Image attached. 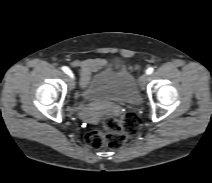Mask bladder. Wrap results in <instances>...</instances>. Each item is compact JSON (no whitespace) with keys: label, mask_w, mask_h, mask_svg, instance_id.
Returning a JSON list of instances; mask_svg holds the SVG:
<instances>
[{"label":"bladder","mask_w":212,"mask_h":183,"mask_svg":"<svg viewBox=\"0 0 212 183\" xmlns=\"http://www.w3.org/2000/svg\"><path fill=\"white\" fill-rule=\"evenodd\" d=\"M86 101L113 100L135 105L139 102L136 81L127 70L98 72L81 94Z\"/></svg>","instance_id":"31cf9c89"}]
</instances>
